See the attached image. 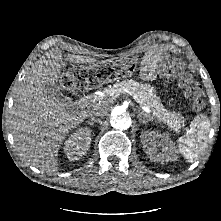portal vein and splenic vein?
Wrapping results in <instances>:
<instances>
[{
  "label": "portal vein and splenic vein",
  "mask_w": 221,
  "mask_h": 221,
  "mask_svg": "<svg viewBox=\"0 0 221 221\" xmlns=\"http://www.w3.org/2000/svg\"><path fill=\"white\" fill-rule=\"evenodd\" d=\"M124 92L128 93L129 95H131L130 92H128L127 90H124ZM131 96H132V95H131ZM132 97L134 98L135 101L138 102V99H137L136 96H132ZM141 109H142L143 111H145L146 113H150V109L147 108V107H141Z\"/></svg>",
  "instance_id": "18ae733b"
}]
</instances>
